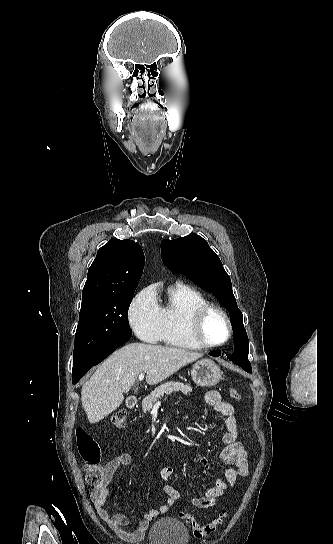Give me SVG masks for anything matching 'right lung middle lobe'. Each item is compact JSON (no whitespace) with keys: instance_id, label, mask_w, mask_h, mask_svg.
<instances>
[{"instance_id":"right-lung-middle-lobe-1","label":"right lung middle lobe","mask_w":333,"mask_h":544,"mask_svg":"<svg viewBox=\"0 0 333 544\" xmlns=\"http://www.w3.org/2000/svg\"><path fill=\"white\" fill-rule=\"evenodd\" d=\"M134 291L96 297L81 305L73 366L113 339L132 335L128 309Z\"/></svg>"}]
</instances>
